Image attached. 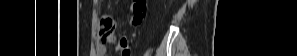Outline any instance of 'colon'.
<instances>
[{
  "instance_id": "obj_1",
  "label": "colon",
  "mask_w": 297,
  "mask_h": 56,
  "mask_svg": "<svg viewBox=\"0 0 297 56\" xmlns=\"http://www.w3.org/2000/svg\"><path fill=\"white\" fill-rule=\"evenodd\" d=\"M133 23H141L147 12V1L146 0H135L133 2ZM115 25L114 21L110 17H105L100 21L99 24V39L102 44L113 43L115 41L114 36Z\"/></svg>"
}]
</instances>
